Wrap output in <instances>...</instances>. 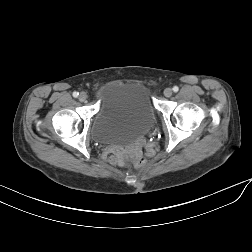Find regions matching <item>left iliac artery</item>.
I'll list each match as a JSON object with an SVG mask.
<instances>
[{
	"mask_svg": "<svg viewBox=\"0 0 252 252\" xmlns=\"http://www.w3.org/2000/svg\"><path fill=\"white\" fill-rule=\"evenodd\" d=\"M172 89L174 92H178V90H179V88L177 86H174Z\"/></svg>",
	"mask_w": 252,
	"mask_h": 252,
	"instance_id": "obj_1",
	"label": "left iliac artery"
}]
</instances>
